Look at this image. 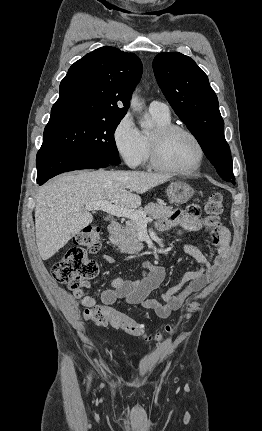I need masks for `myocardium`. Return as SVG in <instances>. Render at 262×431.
<instances>
[{"mask_svg": "<svg viewBox=\"0 0 262 431\" xmlns=\"http://www.w3.org/2000/svg\"><path fill=\"white\" fill-rule=\"evenodd\" d=\"M175 133H184L188 135L194 141L197 147V162L191 169L175 168L166 164L163 160L162 145L167 137ZM149 155L152 166L157 170L175 175L189 176L194 174L202 167L205 158V151L200 139L194 132L183 126L169 124L164 126H157L156 129L152 132L149 139Z\"/></svg>", "mask_w": 262, "mask_h": 431, "instance_id": "1", "label": "myocardium"}]
</instances>
